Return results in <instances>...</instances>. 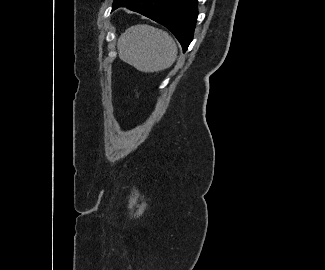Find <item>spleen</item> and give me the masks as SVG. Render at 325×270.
Wrapping results in <instances>:
<instances>
[{
  "label": "spleen",
  "mask_w": 325,
  "mask_h": 270,
  "mask_svg": "<svg viewBox=\"0 0 325 270\" xmlns=\"http://www.w3.org/2000/svg\"><path fill=\"white\" fill-rule=\"evenodd\" d=\"M122 61L145 73L169 68L177 58V45L162 29L138 24L128 28L118 39Z\"/></svg>",
  "instance_id": "1"
}]
</instances>
